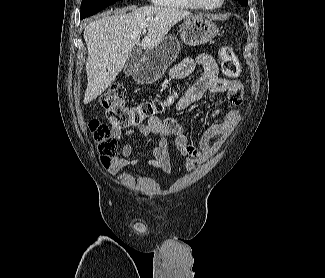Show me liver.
Instances as JSON below:
<instances>
[{"instance_id": "obj_1", "label": "liver", "mask_w": 325, "mask_h": 278, "mask_svg": "<svg viewBox=\"0 0 325 278\" xmlns=\"http://www.w3.org/2000/svg\"><path fill=\"white\" fill-rule=\"evenodd\" d=\"M132 10L130 13H126ZM188 11L173 7H127L90 22L84 30L88 49L86 60L87 88L84 104H88L108 87L123 69L131 50L140 45L148 50L160 43L169 30L184 18ZM148 31L140 43L142 30Z\"/></svg>"}]
</instances>
